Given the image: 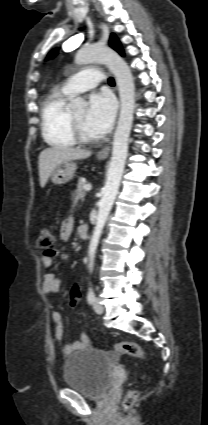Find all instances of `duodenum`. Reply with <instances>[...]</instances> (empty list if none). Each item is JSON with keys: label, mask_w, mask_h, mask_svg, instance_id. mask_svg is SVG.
Returning a JSON list of instances; mask_svg holds the SVG:
<instances>
[{"label": "duodenum", "mask_w": 208, "mask_h": 425, "mask_svg": "<svg viewBox=\"0 0 208 425\" xmlns=\"http://www.w3.org/2000/svg\"><path fill=\"white\" fill-rule=\"evenodd\" d=\"M79 235L82 239L88 238V227L86 225H81L79 227Z\"/></svg>", "instance_id": "410a0bca"}]
</instances>
